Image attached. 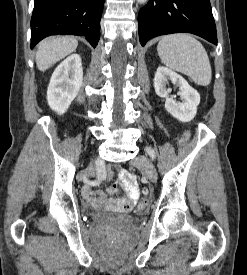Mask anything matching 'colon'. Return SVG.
Segmentation results:
<instances>
[{
    "instance_id": "obj_1",
    "label": "colon",
    "mask_w": 247,
    "mask_h": 275,
    "mask_svg": "<svg viewBox=\"0 0 247 275\" xmlns=\"http://www.w3.org/2000/svg\"><path fill=\"white\" fill-rule=\"evenodd\" d=\"M189 138V133L184 134L182 138V142H185ZM150 200V194L147 189H143L141 192L140 202H139V208L143 209L145 208Z\"/></svg>"
}]
</instances>
